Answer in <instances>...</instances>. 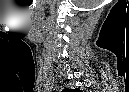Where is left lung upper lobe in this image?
Here are the masks:
<instances>
[{"mask_svg":"<svg viewBox=\"0 0 129 92\" xmlns=\"http://www.w3.org/2000/svg\"><path fill=\"white\" fill-rule=\"evenodd\" d=\"M71 91H80L79 89H75V90H69V92H71Z\"/></svg>","mask_w":129,"mask_h":92,"instance_id":"5c2ea615","label":"left lung upper lobe"}]
</instances>
